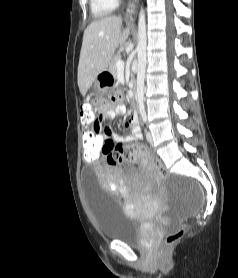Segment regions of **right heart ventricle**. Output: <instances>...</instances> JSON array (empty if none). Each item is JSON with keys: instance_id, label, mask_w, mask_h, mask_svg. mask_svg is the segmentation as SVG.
<instances>
[{"instance_id": "1", "label": "right heart ventricle", "mask_w": 238, "mask_h": 278, "mask_svg": "<svg viewBox=\"0 0 238 278\" xmlns=\"http://www.w3.org/2000/svg\"><path fill=\"white\" fill-rule=\"evenodd\" d=\"M90 9L95 18L109 15L118 4V0H89Z\"/></svg>"}]
</instances>
